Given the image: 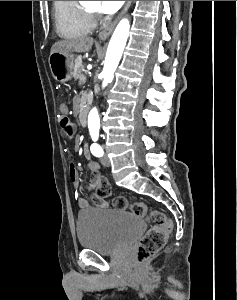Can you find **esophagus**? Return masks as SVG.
Segmentation results:
<instances>
[{
  "label": "esophagus",
  "mask_w": 237,
  "mask_h": 300,
  "mask_svg": "<svg viewBox=\"0 0 237 300\" xmlns=\"http://www.w3.org/2000/svg\"><path fill=\"white\" fill-rule=\"evenodd\" d=\"M132 1H126L125 6L121 13L117 16V18L111 23L109 26H107L101 33L99 34L100 39H106L110 36L112 31L114 30L116 24L118 23L119 19L126 13L128 8L130 7Z\"/></svg>",
  "instance_id": "1"
}]
</instances>
